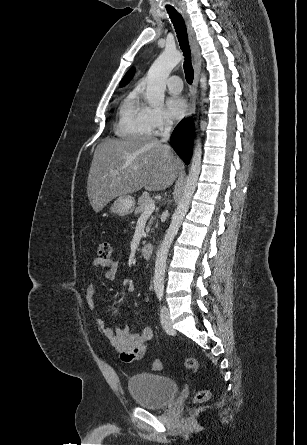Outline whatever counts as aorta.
Instances as JSON below:
<instances>
[{"mask_svg": "<svg viewBox=\"0 0 307 445\" xmlns=\"http://www.w3.org/2000/svg\"><path fill=\"white\" fill-rule=\"evenodd\" d=\"M182 58L183 52H180V50H176V48H165L162 54H160V56L154 60L152 66H150L147 72V86L145 94L149 104H163L165 98L166 80L171 70H173L176 64H179ZM200 82L203 96L207 86L206 76L203 74V72L200 74ZM201 146L202 144L200 142V138H197L189 174L184 186L183 196L172 216L171 225L166 231L163 243L161 247H159V251H157L153 279L155 291H163L164 289L166 261L170 245L181 227V223L186 212H188L191 198L197 186L198 176L201 170Z\"/></svg>", "mask_w": 307, "mask_h": 445, "instance_id": "762f6f07", "label": "aorta"}]
</instances>
